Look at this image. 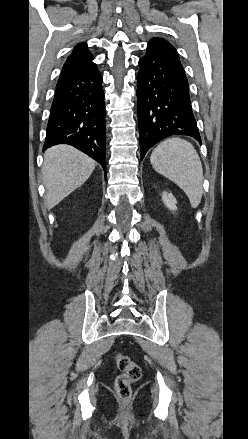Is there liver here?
<instances>
[{
	"instance_id": "1",
	"label": "liver",
	"mask_w": 248,
	"mask_h": 439,
	"mask_svg": "<svg viewBox=\"0 0 248 439\" xmlns=\"http://www.w3.org/2000/svg\"><path fill=\"white\" fill-rule=\"evenodd\" d=\"M95 166L93 159L72 146L56 145L49 148L44 154L42 166L47 208H53L83 185Z\"/></svg>"
}]
</instances>
